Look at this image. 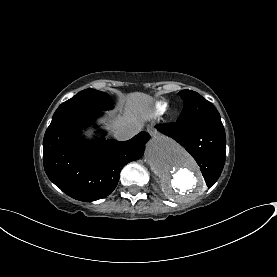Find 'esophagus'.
<instances>
[{"instance_id":"obj_1","label":"esophagus","mask_w":277,"mask_h":277,"mask_svg":"<svg viewBox=\"0 0 277 277\" xmlns=\"http://www.w3.org/2000/svg\"><path fill=\"white\" fill-rule=\"evenodd\" d=\"M147 131H148L149 133H152V132H153L152 128H149V127H148Z\"/></svg>"}]
</instances>
